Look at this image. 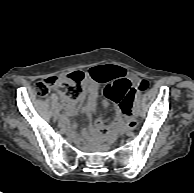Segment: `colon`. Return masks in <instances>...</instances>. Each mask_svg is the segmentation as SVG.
I'll return each mask as SVG.
<instances>
[{
    "label": "colon",
    "instance_id": "colon-1",
    "mask_svg": "<svg viewBox=\"0 0 194 193\" xmlns=\"http://www.w3.org/2000/svg\"><path fill=\"white\" fill-rule=\"evenodd\" d=\"M83 79L84 74L82 71H74L61 77H50L46 80L38 81L33 85V90L37 95L45 96L48 94L51 87L59 86L65 100L75 101L82 95ZM144 86L145 82H141L140 87L143 88ZM118 87L123 88L127 94H133L135 91V86L133 85L132 81L122 74L118 77L114 84L107 86L105 89V94L110 98H114L116 96V90ZM132 126L133 123L131 122L130 118H128L126 124L122 125L118 129L122 130L124 127Z\"/></svg>",
    "mask_w": 194,
    "mask_h": 193
}]
</instances>
